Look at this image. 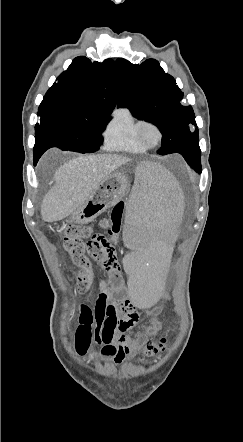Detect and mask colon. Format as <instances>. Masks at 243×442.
<instances>
[{
	"label": "colon",
	"instance_id": "colon-1",
	"mask_svg": "<svg viewBox=\"0 0 243 442\" xmlns=\"http://www.w3.org/2000/svg\"><path fill=\"white\" fill-rule=\"evenodd\" d=\"M124 215V202L119 201L112 209L108 219L102 221V227L107 231L108 237L103 238L99 245L92 239V230L90 227L81 224H69L64 231L63 247L69 254L72 262L79 268L76 277V288L81 293L90 291L94 285V276L91 269L88 256L97 249L100 257H108L113 249L112 244L118 239L122 228ZM123 311H126L122 308ZM168 344L167 336H163L158 341L148 342L145 346V355L153 356L163 351ZM138 365L143 366L146 363L145 358L140 357L137 360Z\"/></svg>",
	"mask_w": 243,
	"mask_h": 442
}]
</instances>
